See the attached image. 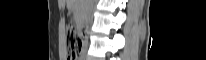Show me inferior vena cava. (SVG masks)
<instances>
[{"label": "inferior vena cava", "mask_w": 206, "mask_h": 60, "mask_svg": "<svg viewBox=\"0 0 206 60\" xmlns=\"http://www.w3.org/2000/svg\"><path fill=\"white\" fill-rule=\"evenodd\" d=\"M90 1H91V0H90ZM90 21H91V19H90V13L87 12L86 22L89 23Z\"/></svg>", "instance_id": "1"}]
</instances>
